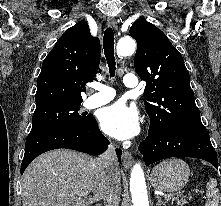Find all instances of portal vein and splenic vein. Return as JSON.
Returning a JSON list of instances; mask_svg holds the SVG:
<instances>
[{"mask_svg":"<svg viewBox=\"0 0 221 206\" xmlns=\"http://www.w3.org/2000/svg\"><path fill=\"white\" fill-rule=\"evenodd\" d=\"M174 195L173 194H168V195H166V196H164L165 197V199H170V198H172Z\"/></svg>","mask_w":221,"mask_h":206,"instance_id":"obj_1","label":"portal vein and splenic vein"}]
</instances>
